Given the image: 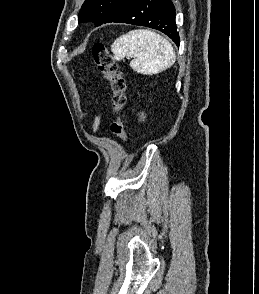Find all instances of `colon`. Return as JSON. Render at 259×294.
<instances>
[{
	"label": "colon",
	"mask_w": 259,
	"mask_h": 294,
	"mask_svg": "<svg viewBox=\"0 0 259 294\" xmlns=\"http://www.w3.org/2000/svg\"><path fill=\"white\" fill-rule=\"evenodd\" d=\"M94 63L112 90V110L115 120L111 124L112 133L122 142H126L129 135L123 109L126 104V83L119 71L113 56L101 42L95 43L92 48Z\"/></svg>",
	"instance_id": "1"
}]
</instances>
